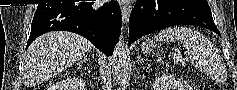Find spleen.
I'll list each match as a JSON object with an SVG mask.
<instances>
[{
	"mask_svg": "<svg viewBox=\"0 0 237 90\" xmlns=\"http://www.w3.org/2000/svg\"><path fill=\"white\" fill-rule=\"evenodd\" d=\"M155 42H178V44H182L183 48L187 50V58L201 64L204 70H208L211 56L217 58L214 44L192 28H178V26L165 28L155 36Z\"/></svg>",
	"mask_w": 237,
	"mask_h": 90,
	"instance_id": "obj_1",
	"label": "spleen"
}]
</instances>
